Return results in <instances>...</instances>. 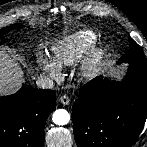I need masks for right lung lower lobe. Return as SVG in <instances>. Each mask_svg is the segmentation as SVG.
Masks as SVG:
<instances>
[{"instance_id": "98d812e1", "label": "right lung lower lobe", "mask_w": 147, "mask_h": 147, "mask_svg": "<svg viewBox=\"0 0 147 147\" xmlns=\"http://www.w3.org/2000/svg\"><path fill=\"white\" fill-rule=\"evenodd\" d=\"M55 107L54 91L28 85L0 97V147H43L44 126Z\"/></svg>"}]
</instances>
